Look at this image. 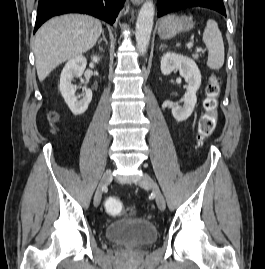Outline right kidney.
<instances>
[{"label": "right kidney", "mask_w": 265, "mask_h": 269, "mask_svg": "<svg viewBox=\"0 0 265 269\" xmlns=\"http://www.w3.org/2000/svg\"><path fill=\"white\" fill-rule=\"evenodd\" d=\"M100 58L98 56H93L92 61L98 63ZM87 60L84 56L79 55L75 58L70 59L63 68L60 75V92L64 98L66 104L74 115L83 114L89 103L92 100V91L90 89H85L83 97L78 100V97L75 95L76 86L72 84L73 77H81L85 68ZM81 82L84 83V80L81 79Z\"/></svg>", "instance_id": "1"}]
</instances>
